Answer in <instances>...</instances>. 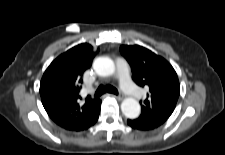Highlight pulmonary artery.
<instances>
[{"mask_svg":"<svg viewBox=\"0 0 225 155\" xmlns=\"http://www.w3.org/2000/svg\"><path fill=\"white\" fill-rule=\"evenodd\" d=\"M117 77L119 78L121 88L126 94L135 99H139L141 97V92L131 80L128 66L122 59L117 62Z\"/></svg>","mask_w":225,"mask_h":155,"instance_id":"e3ab8cb5","label":"pulmonary artery"}]
</instances>
